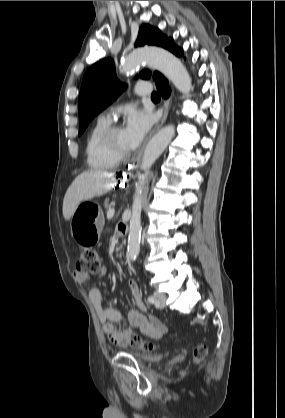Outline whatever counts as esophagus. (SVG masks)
I'll use <instances>...</instances> for the list:
<instances>
[{"label": "esophagus", "instance_id": "esophagus-1", "mask_svg": "<svg viewBox=\"0 0 285 418\" xmlns=\"http://www.w3.org/2000/svg\"><path fill=\"white\" fill-rule=\"evenodd\" d=\"M168 111H169V102L167 100L163 101V113H162V117L159 121V123L153 128V130L150 132L149 136L147 137L143 148L141 149L140 153L138 154V156L136 157V159L134 160V162L132 163V165H130V169H136L140 162H141V158L143 155V151L145 148L146 143L148 142V140L160 129V127L165 123L167 116H168Z\"/></svg>", "mask_w": 285, "mask_h": 418}]
</instances>
